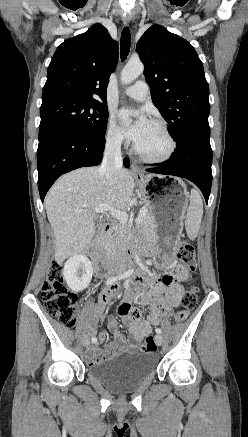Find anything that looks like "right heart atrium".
Returning <instances> with one entry per match:
<instances>
[{
  "mask_svg": "<svg viewBox=\"0 0 248 437\" xmlns=\"http://www.w3.org/2000/svg\"><path fill=\"white\" fill-rule=\"evenodd\" d=\"M105 140L106 144L114 149L120 148L123 145V137L112 117L109 118L107 123Z\"/></svg>",
  "mask_w": 248,
  "mask_h": 437,
  "instance_id": "right-heart-atrium-1",
  "label": "right heart atrium"
}]
</instances>
